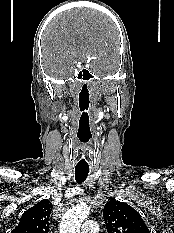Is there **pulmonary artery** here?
I'll use <instances>...</instances> for the list:
<instances>
[{"label": "pulmonary artery", "instance_id": "e3ab8cb5", "mask_svg": "<svg viewBox=\"0 0 174 233\" xmlns=\"http://www.w3.org/2000/svg\"><path fill=\"white\" fill-rule=\"evenodd\" d=\"M81 233H98V225L94 221H86L81 227Z\"/></svg>", "mask_w": 174, "mask_h": 233}]
</instances>
